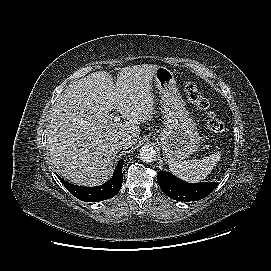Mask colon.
Segmentation results:
<instances>
[{
	"mask_svg": "<svg viewBox=\"0 0 271 271\" xmlns=\"http://www.w3.org/2000/svg\"><path fill=\"white\" fill-rule=\"evenodd\" d=\"M185 91L191 102L204 112L209 131L213 134L223 133L225 131L224 122L218 118L215 110L211 107L209 100L201 94L198 86L193 82H188L185 85Z\"/></svg>",
	"mask_w": 271,
	"mask_h": 271,
	"instance_id": "1",
	"label": "colon"
}]
</instances>
